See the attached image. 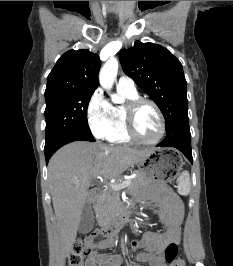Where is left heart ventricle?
<instances>
[{
    "label": "left heart ventricle",
    "mask_w": 233,
    "mask_h": 266,
    "mask_svg": "<svg viewBox=\"0 0 233 266\" xmlns=\"http://www.w3.org/2000/svg\"><path fill=\"white\" fill-rule=\"evenodd\" d=\"M137 134L144 140L155 139L160 131V120L155 109L150 105L141 106L135 116Z\"/></svg>",
    "instance_id": "1"
}]
</instances>
